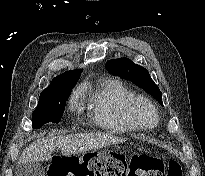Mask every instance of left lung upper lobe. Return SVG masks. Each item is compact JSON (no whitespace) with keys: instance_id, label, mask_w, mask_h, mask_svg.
Returning <instances> with one entry per match:
<instances>
[{"instance_id":"1","label":"left lung upper lobe","mask_w":205,"mask_h":176,"mask_svg":"<svg viewBox=\"0 0 205 176\" xmlns=\"http://www.w3.org/2000/svg\"><path fill=\"white\" fill-rule=\"evenodd\" d=\"M106 69L110 73L132 81L163 105L162 93L144 67L133 63L128 58H120L109 60L106 63Z\"/></svg>"}]
</instances>
